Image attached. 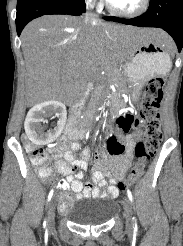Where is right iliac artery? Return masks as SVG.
Listing matches in <instances>:
<instances>
[{
	"label": "right iliac artery",
	"instance_id": "82829eb1",
	"mask_svg": "<svg viewBox=\"0 0 183 246\" xmlns=\"http://www.w3.org/2000/svg\"><path fill=\"white\" fill-rule=\"evenodd\" d=\"M53 192H54V190H53V189L49 192V195H48V201H50V200H51V198H52V196H53ZM46 224H47V222H46V221H44V226H46Z\"/></svg>",
	"mask_w": 183,
	"mask_h": 246
}]
</instances>
